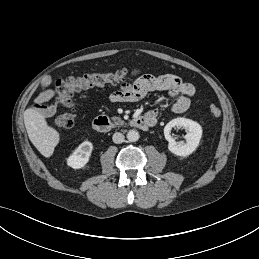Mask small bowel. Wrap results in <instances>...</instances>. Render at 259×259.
<instances>
[{
  "label": "small bowel",
  "instance_id": "c3829d8e",
  "mask_svg": "<svg viewBox=\"0 0 259 259\" xmlns=\"http://www.w3.org/2000/svg\"><path fill=\"white\" fill-rule=\"evenodd\" d=\"M135 80L133 83H123L110 94V99L114 102H137L142 100L148 93L155 91H167L175 99L172 105V111L183 113L191 105L192 97L195 93L194 86L182 80L174 74H140L138 70L133 73ZM55 92L47 88V83L43 85L42 90L33 102V108L43 117L51 119L56 111L55 102L45 105V102L53 99ZM158 111L152 110L146 114L148 117L157 118Z\"/></svg>",
  "mask_w": 259,
  "mask_h": 259
}]
</instances>
